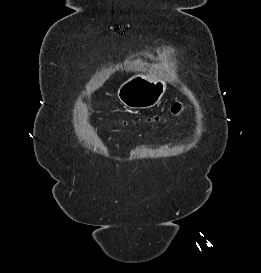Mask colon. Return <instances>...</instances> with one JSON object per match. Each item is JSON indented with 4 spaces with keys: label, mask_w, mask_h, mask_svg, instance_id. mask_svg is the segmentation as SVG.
I'll return each instance as SVG.
<instances>
[{
    "label": "colon",
    "mask_w": 261,
    "mask_h": 273,
    "mask_svg": "<svg viewBox=\"0 0 261 273\" xmlns=\"http://www.w3.org/2000/svg\"><path fill=\"white\" fill-rule=\"evenodd\" d=\"M181 109V105L179 103H175L172 107H171V112L174 114H177Z\"/></svg>",
    "instance_id": "obj_1"
}]
</instances>
